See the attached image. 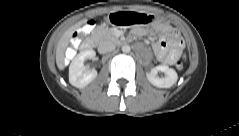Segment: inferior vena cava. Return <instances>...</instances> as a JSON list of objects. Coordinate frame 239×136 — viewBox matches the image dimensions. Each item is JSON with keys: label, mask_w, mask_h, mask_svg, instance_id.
<instances>
[{"label": "inferior vena cava", "mask_w": 239, "mask_h": 136, "mask_svg": "<svg viewBox=\"0 0 239 136\" xmlns=\"http://www.w3.org/2000/svg\"><path fill=\"white\" fill-rule=\"evenodd\" d=\"M115 50V44L112 41H102L98 46V52L106 54Z\"/></svg>", "instance_id": "inferior-vena-cava-1"}]
</instances>
